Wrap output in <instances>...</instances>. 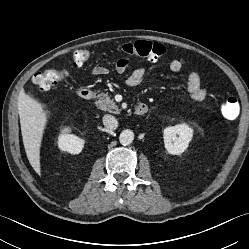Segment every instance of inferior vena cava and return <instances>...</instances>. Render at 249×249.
I'll return each instance as SVG.
<instances>
[{"label": "inferior vena cava", "instance_id": "obj_1", "mask_svg": "<svg viewBox=\"0 0 249 249\" xmlns=\"http://www.w3.org/2000/svg\"><path fill=\"white\" fill-rule=\"evenodd\" d=\"M103 124L110 130H115L118 127L117 119L114 116L108 114L103 116Z\"/></svg>", "mask_w": 249, "mask_h": 249}]
</instances>
